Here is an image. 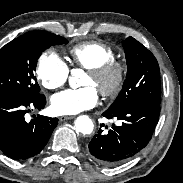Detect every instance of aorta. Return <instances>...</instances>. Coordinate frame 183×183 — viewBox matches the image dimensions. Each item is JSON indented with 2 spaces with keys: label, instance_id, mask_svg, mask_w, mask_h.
I'll return each mask as SVG.
<instances>
[{
  "label": "aorta",
  "instance_id": "obj_1",
  "mask_svg": "<svg viewBox=\"0 0 183 183\" xmlns=\"http://www.w3.org/2000/svg\"><path fill=\"white\" fill-rule=\"evenodd\" d=\"M83 75L81 69H73L71 71V76L69 77V85L71 88L75 89L80 86L79 78ZM74 128L77 133L83 135H89L94 129V124L92 120L87 115H81L77 117L74 121Z\"/></svg>",
  "mask_w": 183,
  "mask_h": 183
}]
</instances>
